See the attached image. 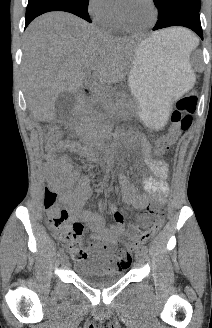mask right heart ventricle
Instances as JSON below:
<instances>
[{"instance_id":"1","label":"right heart ventricle","mask_w":212,"mask_h":328,"mask_svg":"<svg viewBox=\"0 0 212 328\" xmlns=\"http://www.w3.org/2000/svg\"><path fill=\"white\" fill-rule=\"evenodd\" d=\"M105 28L110 30H120L123 29L122 26L119 24L115 15L109 17L107 20L101 23Z\"/></svg>"}]
</instances>
